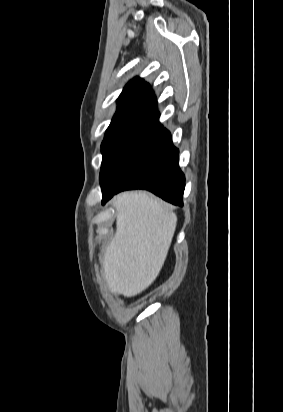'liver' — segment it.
I'll use <instances>...</instances> for the list:
<instances>
[{"instance_id": "1", "label": "liver", "mask_w": 283, "mask_h": 412, "mask_svg": "<svg viewBox=\"0 0 283 412\" xmlns=\"http://www.w3.org/2000/svg\"><path fill=\"white\" fill-rule=\"evenodd\" d=\"M113 207L116 234L104 255V274L112 293L131 297L148 288L159 275L177 216L168 204L140 191L119 194Z\"/></svg>"}]
</instances>
